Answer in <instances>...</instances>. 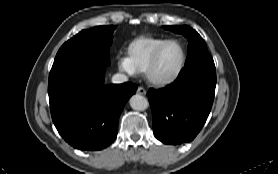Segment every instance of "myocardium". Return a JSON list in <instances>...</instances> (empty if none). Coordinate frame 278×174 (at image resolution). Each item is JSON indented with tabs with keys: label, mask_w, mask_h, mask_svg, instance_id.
<instances>
[{
	"label": "myocardium",
	"mask_w": 278,
	"mask_h": 174,
	"mask_svg": "<svg viewBox=\"0 0 278 174\" xmlns=\"http://www.w3.org/2000/svg\"><path fill=\"white\" fill-rule=\"evenodd\" d=\"M170 43H176V44L180 45L181 52H182L181 63L179 65L178 69L171 76L159 77L154 72L156 62H157V59H158L159 54L162 51V49ZM186 61H187V52H186V48H185L184 44L178 39H167L164 42H162L152 53L150 60L148 62L147 68L145 70L146 78L151 84H153L155 86H158V87L168 86V85L174 83L180 77V75L182 74V72L186 66Z\"/></svg>",
	"instance_id": "1"
}]
</instances>
